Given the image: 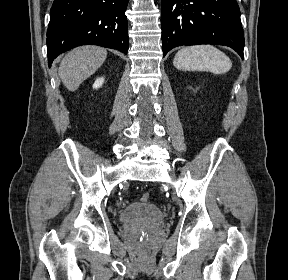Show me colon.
Here are the masks:
<instances>
[{"mask_svg":"<svg viewBox=\"0 0 288 280\" xmlns=\"http://www.w3.org/2000/svg\"><path fill=\"white\" fill-rule=\"evenodd\" d=\"M151 200V195L149 193H145L141 197V201L144 203H148Z\"/></svg>","mask_w":288,"mask_h":280,"instance_id":"1","label":"colon"}]
</instances>
